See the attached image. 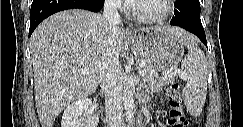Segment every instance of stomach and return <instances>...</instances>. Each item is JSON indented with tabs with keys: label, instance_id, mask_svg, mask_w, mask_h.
<instances>
[{
	"label": "stomach",
	"instance_id": "0dacf381",
	"mask_svg": "<svg viewBox=\"0 0 243 127\" xmlns=\"http://www.w3.org/2000/svg\"><path fill=\"white\" fill-rule=\"evenodd\" d=\"M128 39L143 61L155 71L173 70L184 55L177 36L162 27L147 28L140 35L129 36Z\"/></svg>",
	"mask_w": 243,
	"mask_h": 127
}]
</instances>
